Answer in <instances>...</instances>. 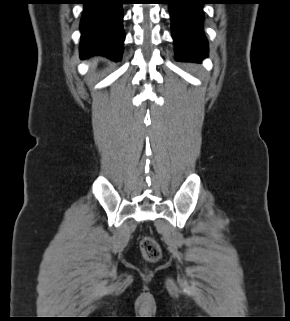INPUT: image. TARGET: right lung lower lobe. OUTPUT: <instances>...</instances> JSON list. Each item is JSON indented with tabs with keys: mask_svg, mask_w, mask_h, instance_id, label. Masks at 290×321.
<instances>
[{
	"mask_svg": "<svg viewBox=\"0 0 290 321\" xmlns=\"http://www.w3.org/2000/svg\"><path fill=\"white\" fill-rule=\"evenodd\" d=\"M81 20V58L103 55L115 61L121 59L124 32L123 0H84Z\"/></svg>",
	"mask_w": 290,
	"mask_h": 321,
	"instance_id": "1",
	"label": "right lung lower lobe"
}]
</instances>
